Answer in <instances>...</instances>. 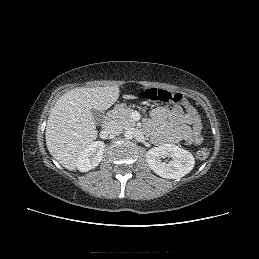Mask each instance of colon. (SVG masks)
Listing matches in <instances>:
<instances>
[{"instance_id": "obj_1", "label": "colon", "mask_w": 259, "mask_h": 259, "mask_svg": "<svg viewBox=\"0 0 259 259\" xmlns=\"http://www.w3.org/2000/svg\"><path fill=\"white\" fill-rule=\"evenodd\" d=\"M145 96L149 101L160 103H174L184 106L189 113V119L193 125V141L197 147H201L197 150V157L199 159H205L209 155V148L203 146V133L201 117L198 111L189 103L186 97L182 93H171L167 90L150 88L145 91Z\"/></svg>"}]
</instances>
